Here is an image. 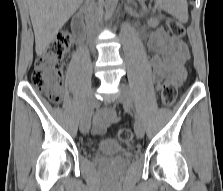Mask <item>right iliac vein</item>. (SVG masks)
<instances>
[{
	"mask_svg": "<svg viewBox=\"0 0 223 191\" xmlns=\"http://www.w3.org/2000/svg\"><path fill=\"white\" fill-rule=\"evenodd\" d=\"M95 104H96L95 89H93L91 90V92L89 93L87 97L85 109L80 121V130L83 134H86L89 132L91 113Z\"/></svg>",
	"mask_w": 223,
	"mask_h": 191,
	"instance_id": "right-iliac-vein-1",
	"label": "right iliac vein"
}]
</instances>
